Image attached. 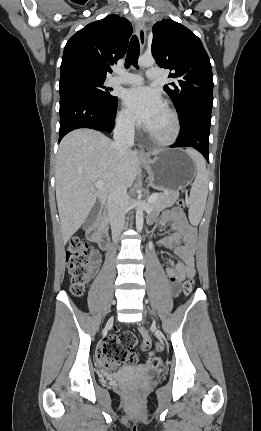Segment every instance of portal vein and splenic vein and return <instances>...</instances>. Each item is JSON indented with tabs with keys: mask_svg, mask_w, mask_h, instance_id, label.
<instances>
[{
	"mask_svg": "<svg viewBox=\"0 0 261 431\" xmlns=\"http://www.w3.org/2000/svg\"><path fill=\"white\" fill-rule=\"evenodd\" d=\"M103 185H104V182H103V181H97V182H95V186H96L97 188H101ZM156 199H157V194H153V195H151V196L148 198L147 202H148V203H153Z\"/></svg>",
	"mask_w": 261,
	"mask_h": 431,
	"instance_id": "18ae733b",
	"label": "portal vein and splenic vein"
}]
</instances>
